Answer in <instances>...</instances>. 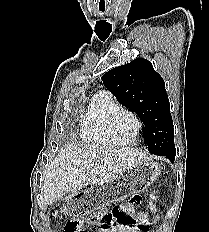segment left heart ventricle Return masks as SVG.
<instances>
[{
  "instance_id": "left-heart-ventricle-1",
  "label": "left heart ventricle",
  "mask_w": 209,
  "mask_h": 232,
  "mask_svg": "<svg viewBox=\"0 0 209 232\" xmlns=\"http://www.w3.org/2000/svg\"><path fill=\"white\" fill-rule=\"evenodd\" d=\"M136 129V123L129 114H121L113 124L115 137L122 142L131 139Z\"/></svg>"
}]
</instances>
